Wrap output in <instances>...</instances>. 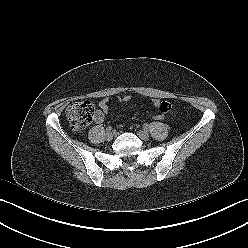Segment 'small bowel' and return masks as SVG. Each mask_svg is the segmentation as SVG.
I'll list each match as a JSON object with an SVG mask.
<instances>
[{
  "label": "small bowel",
  "mask_w": 248,
  "mask_h": 248,
  "mask_svg": "<svg viewBox=\"0 0 248 248\" xmlns=\"http://www.w3.org/2000/svg\"><path fill=\"white\" fill-rule=\"evenodd\" d=\"M118 99L122 103H129L132 97L130 95H123L118 97ZM152 105L163 114H167L171 110V105L166 101L155 99L152 101ZM108 111H109V99L104 98L100 101L99 109L94 114V122L97 124L102 123Z\"/></svg>",
  "instance_id": "1"
}]
</instances>
